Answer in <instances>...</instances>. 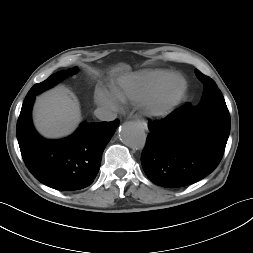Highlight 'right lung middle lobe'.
<instances>
[{
  "mask_svg": "<svg viewBox=\"0 0 253 253\" xmlns=\"http://www.w3.org/2000/svg\"><path fill=\"white\" fill-rule=\"evenodd\" d=\"M77 71L76 68L73 69H69L68 72L65 71H61V72H57L55 74H52L48 79H46L45 81L35 84L30 91L28 92L27 96H30L32 94H38L52 86H54L55 84H57L59 81H61L62 79H64L65 77L68 76V74L72 75ZM26 96V97H27Z\"/></svg>",
  "mask_w": 253,
  "mask_h": 253,
  "instance_id": "1",
  "label": "right lung middle lobe"
}]
</instances>
